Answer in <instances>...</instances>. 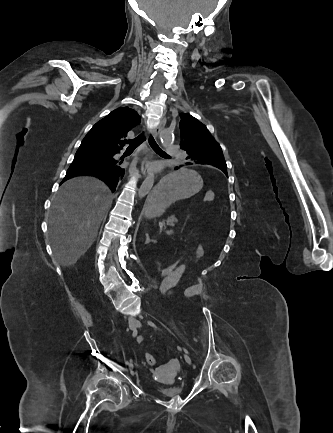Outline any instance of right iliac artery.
I'll return each mask as SVG.
<instances>
[{"label":"right iliac artery","instance_id":"82829eb1","mask_svg":"<svg viewBox=\"0 0 333 433\" xmlns=\"http://www.w3.org/2000/svg\"><path fill=\"white\" fill-rule=\"evenodd\" d=\"M137 333H138L137 329H134V330H133V333H132V336H133V337H136V336H137ZM125 363H126V365H130V364H131L129 361H126Z\"/></svg>","mask_w":333,"mask_h":433}]
</instances>
